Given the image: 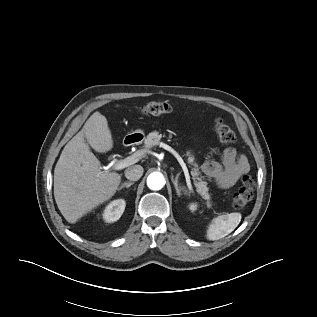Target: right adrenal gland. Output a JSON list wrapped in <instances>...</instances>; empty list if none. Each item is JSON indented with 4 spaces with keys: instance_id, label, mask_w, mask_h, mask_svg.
Wrapping results in <instances>:
<instances>
[{
    "instance_id": "2a0ac1e0",
    "label": "right adrenal gland",
    "mask_w": 317,
    "mask_h": 317,
    "mask_svg": "<svg viewBox=\"0 0 317 317\" xmlns=\"http://www.w3.org/2000/svg\"><path fill=\"white\" fill-rule=\"evenodd\" d=\"M133 184H134V182H125L118 188V191L122 190L125 187L128 189Z\"/></svg>"
}]
</instances>
